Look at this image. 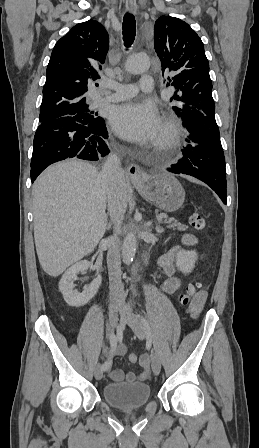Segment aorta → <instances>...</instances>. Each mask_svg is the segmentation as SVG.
I'll list each match as a JSON object with an SVG mask.
<instances>
[{
  "mask_svg": "<svg viewBox=\"0 0 259 448\" xmlns=\"http://www.w3.org/2000/svg\"><path fill=\"white\" fill-rule=\"evenodd\" d=\"M150 66V61L147 56L136 54L127 59L126 69L131 74H140L145 72ZM136 235L134 232H129L123 241L122 245V257L125 264L129 265L136 253Z\"/></svg>",
  "mask_w": 259,
  "mask_h": 448,
  "instance_id": "762f6f07",
  "label": "aorta"
}]
</instances>
